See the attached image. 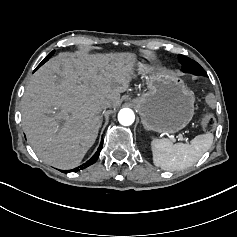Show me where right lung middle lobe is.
<instances>
[{"mask_svg":"<svg viewBox=\"0 0 237 237\" xmlns=\"http://www.w3.org/2000/svg\"><path fill=\"white\" fill-rule=\"evenodd\" d=\"M55 51H52L41 63L40 65L37 67L39 68L42 64H44L46 61H48V59L54 54Z\"/></svg>","mask_w":237,"mask_h":237,"instance_id":"right-lung-middle-lobe-1","label":"right lung middle lobe"}]
</instances>
